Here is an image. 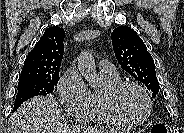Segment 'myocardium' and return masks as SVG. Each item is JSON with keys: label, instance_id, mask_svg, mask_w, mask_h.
Masks as SVG:
<instances>
[{"label": "myocardium", "instance_id": "1", "mask_svg": "<svg viewBox=\"0 0 184 133\" xmlns=\"http://www.w3.org/2000/svg\"><path fill=\"white\" fill-rule=\"evenodd\" d=\"M133 87L139 90L145 98L147 109L145 114L139 119H129L124 117L118 110L117 101L119 95L127 88ZM103 103L109 116L116 124L137 126L147 121L152 112V100L148 91L139 83L134 81H120L107 87L103 92Z\"/></svg>", "mask_w": 184, "mask_h": 133}]
</instances>
